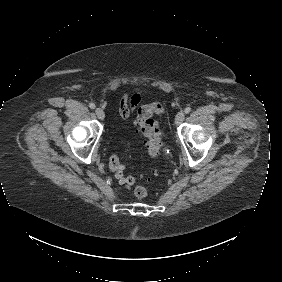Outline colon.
I'll return each instance as SVG.
<instances>
[{
  "label": "colon",
  "instance_id": "colon-1",
  "mask_svg": "<svg viewBox=\"0 0 282 282\" xmlns=\"http://www.w3.org/2000/svg\"><path fill=\"white\" fill-rule=\"evenodd\" d=\"M163 112L164 105L161 102H154L151 106L144 105L140 109V122L138 128L145 138L147 154L150 158H158L161 155L163 147L161 133L158 125L152 120V114L161 115ZM109 168L119 184L122 186L131 188L132 183H138V178H133L125 174V166L121 163L117 154H112L110 156ZM151 173L156 177L160 172L155 168ZM141 180L150 181V176L141 175ZM135 196L138 199L146 197L147 188L145 186H138Z\"/></svg>",
  "mask_w": 282,
  "mask_h": 282
}]
</instances>
